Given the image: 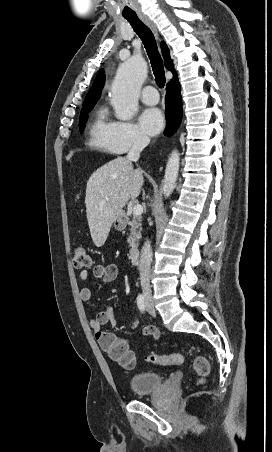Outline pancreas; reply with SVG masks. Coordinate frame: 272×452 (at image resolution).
<instances>
[{
    "label": "pancreas",
    "mask_w": 272,
    "mask_h": 452,
    "mask_svg": "<svg viewBox=\"0 0 272 452\" xmlns=\"http://www.w3.org/2000/svg\"><path fill=\"white\" fill-rule=\"evenodd\" d=\"M140 216H133V219L129 221L130 236L128 237V244L130 247H138V241L141 238L142 224Z\"/></svg>",
    "instance_id": "pancreas-1"
}]
</instances>
